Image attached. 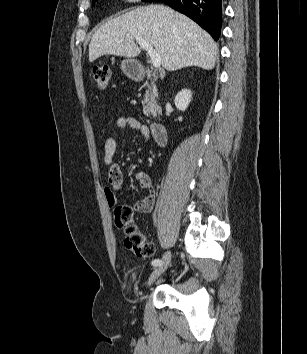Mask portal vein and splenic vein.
I'll use <instances>...</instances> for the list:
<instances>
[{
	"label": "portal vein and splenic vein",
	"instance_id": "obj_1",
	"mask_svg": "<svg viewBox=\"0 0 307 354\" xmlns=\"http://www.w3.org/2000/svg\"><path fill=\"white\" fill-rule=\"evenodd\" d=\"M136 42L144 49L147 51V53L150 56L152 65L155 68H159L161 65V56L153 49V47L148 44L144 39L142 38H136Z\"/></svg>",
	"mask_w": 307,
	"mask_h": 354
}]
</instances>
